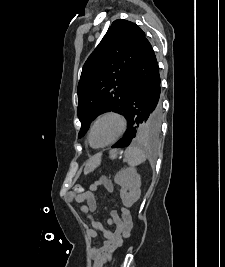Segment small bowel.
Masks as SVG:
<instances>
[{"mask_svg":"<svg viewBox=\"0 0 225 267\" xmlns=\"http://www.w3.org/2000/svg\"><path fill=\"white\" fill-rule=\"evenodd\" d=\"M98 187H103L110 192L114 190L113 183L109 179L100 178L92 183L90 190L83 195L74 196L73 194H69L67 196L69 201L75 200L76 202L82 203L80 209L91 223V228L87 230L88 236L94 239L97 237V232L101 231L105 238L103 246L93 247L91 249L93 259L92 267H104L109 256L122 246L125 238L131 235L133 228L132 217L129 209L126 207H122L120 214L115 210L111 211L108 223L115 227L114 231L106 230L100 222L94 219L93 212L97 209L94 192Z\"/></svg>","mask_w":225,"mask_h":267,"instance_id":"small-bowel-1","label":"small bowel"}]
</instances>
